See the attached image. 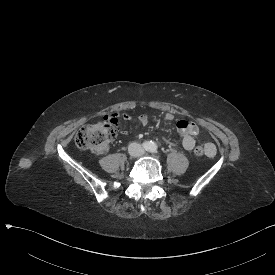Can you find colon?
<instances>
[{"label":"colon","mask_w":275,"mask_h":275,"mask_svg":"<svg viewBox=\"0 0 275 275\" xmlns=\"http://www.w3.org/2000/svg\"><path fill=\"white\" fill-rule=\"evenodd\" d=\"M117 135V122L105 120L84 125L75 136V143L80 149L104 153ZM197 155H203V146L195 148Z\"/></svg>","instance_id":"colon-1"}]
</instances>
